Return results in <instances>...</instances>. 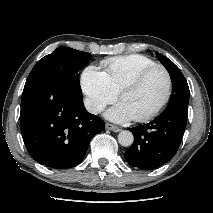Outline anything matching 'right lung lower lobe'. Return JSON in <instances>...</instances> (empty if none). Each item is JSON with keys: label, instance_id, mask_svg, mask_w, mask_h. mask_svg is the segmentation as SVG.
Returning a JSON list of instances; mask_svg holds the SVG:
<instances>
[{"label": "right lung lower lobe", "instance_id": "98d812e1", "mask_svg": "<svg viewBox=\"0 0 213 213\" xmlns=\"http://www.w3.org/2000/svg\"><path fill=\"white\" fill-rule=\"evenodd\" d=\"M21 133L30 156L54 169L79 164L104 121L89 113L83 97L59 81H26L21 100Z\"/></svg>", "mask_w": 213, "mask_h": 213}]
</instances>
